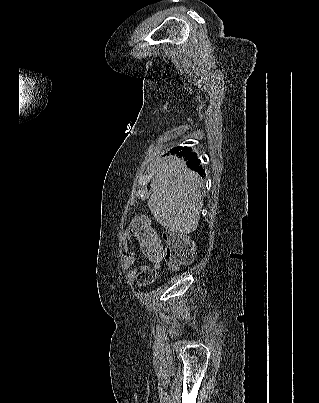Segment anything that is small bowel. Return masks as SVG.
Masks as SVG:
<instances>
[{"mask_svg":"<svg viewBox=\"0 0 319 403\" xmlns=\"http://www.w3.org/2000/svg\"><path fill=\"white\" fill-rule=\"evenodd\" d=\"M132 235L133 234L131 232L126 234L127 237H131ZM135 261H136V254L134 252H132V251L127 253L124 256V259H123V267L127 268V269H130L129 272H128V277L131 280H135L140 271L143 272V271H146V270L150 269L149 265L145 264V263L140 264L136 268H132L134 266V264H135ZM158 265H159V263H153L154 267H158Z\"/></svg>","mask_w":319,"mask_h":403,"instance_id":"small-bowel-1","label":"small bowel"}]
</instances>
